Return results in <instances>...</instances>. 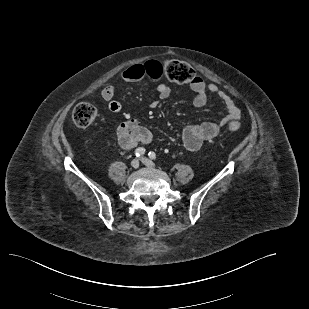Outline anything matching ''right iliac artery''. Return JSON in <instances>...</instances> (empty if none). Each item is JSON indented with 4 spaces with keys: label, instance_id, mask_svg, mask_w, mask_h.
<instances>
[{
    "label": "right iliac artery",
    "instance_id": "obj_1",
    "mask_svg": "<svg viewBox=\"0 0 309 309\" xmlns=\"http://www.w3.org/2000/svg\"><path fill=\"white\" fill-rule=\"evenodd\" d=\"M145 154V149L143 147H139L135 150V156L140 157Z\"/></svg>",
    "mask_w": 309,
    "mask_h": 309
}]
</instances>
